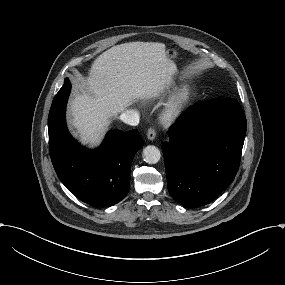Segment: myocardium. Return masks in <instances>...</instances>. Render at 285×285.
Masks as SVG:
<instances>
[{"label":"myocardium","instance_id":"1","mask_svg":"<svg viewBox=\"0 0 285 285\" xmlns=\"http://www.w3.org/2000/svg\"><path fill=\"white\" fill-rule=\"evenodd\" d=\"M192 98L190 88L184 87L177 90L164 105L159 119L164 124L176 123L185 113Z\"/></svg>","mask_w":285,"mask_h":285}]
</instances>
